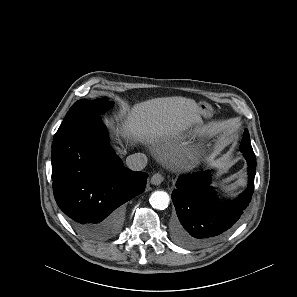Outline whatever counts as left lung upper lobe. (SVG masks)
I'll return each mask as SVG.
<instances>
[{
  "label": "left lung upper lobe",
  "mask_w": 297,
  "mask_h": 297,
  "mask_svg": "<svg viewBox=\"0 0 297 297\" xmlns=\"http://www.w3.org/2000/svg\"><path fill=\"white\" fill-rule=\"evenodd\" d=\"M240 151L241 152H253L252 146L250 144L249 133H248L247 129H245V131H244V136H243L242 142L240 144Z\"/></svg>",
  "instance_id": "left-lung-upper-lobe-1"
}]
</instances>
